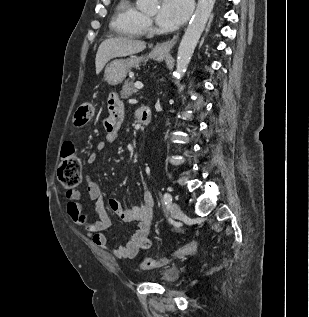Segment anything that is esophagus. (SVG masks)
I'll list each match as a JSON object with an SVG mask.
<instances>
[{
    "instance_id": "esophagus-1",
    "label": "esophagus",
    "mask_w": 309,
    "mask_h": 317,
    "mask_svg": "<svg viewBox=\"0 0 309 317\" xmlns=\"http://www.w3.org/2000/svg\"><path fill=\"white\" fill-rule=\"evenodd\" d=\"M178 36L173 37L171 40H167L165 42L159 43L156 45V50L162 53L170 52L171 48L177 41Z\"/></svg>"
}]
</instances>
